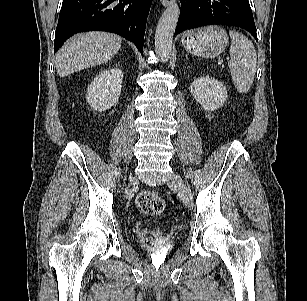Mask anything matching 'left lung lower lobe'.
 <instances>
[{"mask_svg":"<svg viewBox=\"0 0 307 301\" xmlns=\"http://www.w3.org/2000/svg\"><path fill=\"white\" fill-rule=\"evenodd\" d=\"M181 10L175 34L210 24L237 26L257 40L256 27L248 0H180Z\"/></svg>","mask_w":307,"mask_h":301,"instance_id":"0a47b994","label":"left lung lower lobe"}]
</instances>
